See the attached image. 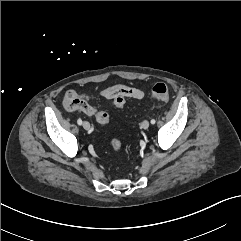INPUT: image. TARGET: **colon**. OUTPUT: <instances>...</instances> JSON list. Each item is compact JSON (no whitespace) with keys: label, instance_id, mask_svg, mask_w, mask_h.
Here are the masks:
<instances>
[{"label":"colon","instance_id":"obj_1","mask_svg":"<svg viewBox=\"0 0 241 241\" xmlns=\"http://www.w3.org/2000/svg\"><path fill=\"white\" fill-rule=\"evenodd\" d=\"M111 95H113V101L114 105L117 108H123L126 103V89L122 87H116L111 92ZM152 98L155 100L166 102L169 100V89L168 86L164 83H157L152 88ZM110 120V116L107 112L101 111L98 114L97 121L101 124H107ZM112 148L117 151L120 150L122 147V144L119 140L113 139L111 141Z\"/></svg>","mask_w":241,"mask_h":241}]
</instances>
